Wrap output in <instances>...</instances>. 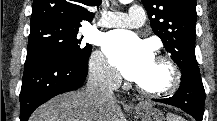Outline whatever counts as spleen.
<instances>
[{
    "mask_svg": "<svg viewBox=\"0 0 217 121\" xmlns=\"http://www.w3.org/2000/svg\"><path fill=\"white\" fill-rule=\"evenodd\" d=\"M167 121H183L181 117H178L176 115H168Z\"/></svg>",
    "mask_w": 217,
    "mask_h": 121,
    "instance_id": "3e777b00",
    "label": "spleen"
}]
</instances>
